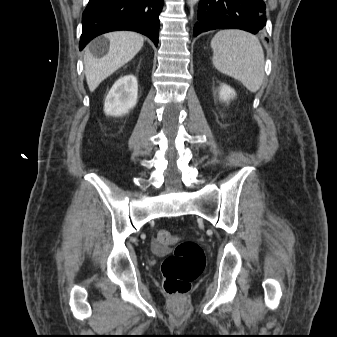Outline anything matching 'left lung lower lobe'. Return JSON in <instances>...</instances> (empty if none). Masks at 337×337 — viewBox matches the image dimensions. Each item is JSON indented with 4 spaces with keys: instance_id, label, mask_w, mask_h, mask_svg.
<instances>
[{
    "instance_id": "left-lung-lower-lobe-1",
    "label": "left lung lower lobe",
    "mask_w": 337,
    "mask_h": 337,
    "mask_svg": "<svg viewBox=\"0 0 337 337\" xmlns=\"http://www.w3.org/2000/svg\"><path fill=\"white\" fill-rule=\"evenodd\" d=\"M265 9L263 0H201L194 36L218 28L256 34L266 25Z\"/></svg>"
}]
</instances>
